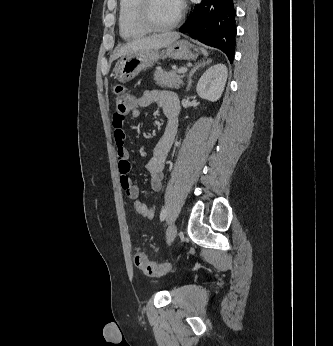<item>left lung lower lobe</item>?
Segmentation results:
<instances>
[{"label": "left lung lower lobe", "instance_id": "obj_1", "mask_svg": "<svg viewBox=\"0 0 333 346\" xmlns=\"http://www.w3.org/2000/svg\"><path fill=\"white\" fill-rule=\"evenodd\" d=\"M233 0H202L196 4L180 32L222 50L233 62L236 38Z\"/></svg>", "mask_w": 333, "mask_h": 346}]
</instances>
